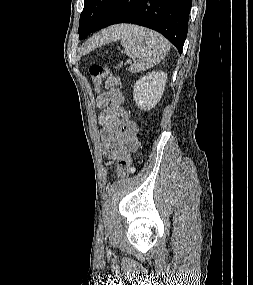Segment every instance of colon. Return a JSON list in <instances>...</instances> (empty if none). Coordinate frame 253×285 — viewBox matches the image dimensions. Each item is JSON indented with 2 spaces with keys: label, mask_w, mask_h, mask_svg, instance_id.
Here are the masks:
<instances>
[{
  "label": "colon",
  "mask_w": 253,
  "mask_h": 285,
  "mask_svg": "<svg viewBox=\"0 0 253 285\" xmlns=\"http://www.w3.org/2000/svg\"><path fill=\"white\" fill-rule=\"evenodd\" d=\"M89 72L96 88L99 87L100 83L104 79H109L112 76L111 70L99 64H93L89 68ZM134 172L133 160L129 153L123 154L117 165V174L120 179L129 177Z\"/></svg>",
  "instance_id": "colon-1"
}]
</instances>
